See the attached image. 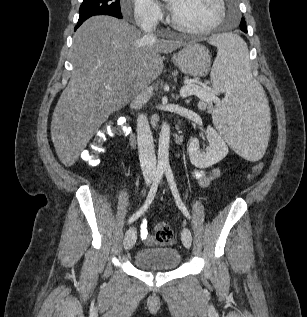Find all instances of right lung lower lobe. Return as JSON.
Returning a JSON list of instances; mask_svg holds the SVG:
<instances>
[{"label": "right lung lower lobe", "instance_id": "1", "mask_svg": "<svg viewBox=\"0 0 307 317\" xmlns=\"http://www.w3.org/2000/svg\"><path fill=\"white\" fill-rule=\"evenodd\" d=\"M84 21H85V20L78 21V24H77V26L75 27V30H76Z\"/></svg>", "mask_w": 307, "mask_h": 317}]
</instances>
